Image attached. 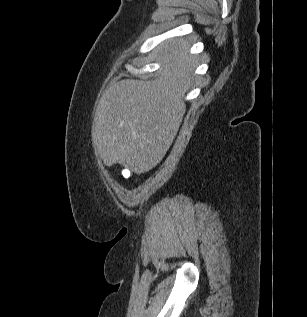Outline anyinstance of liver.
Here are the masks:
<instances>
[{"label": "liver", "instance_id": "6515ba94", "mask_svg": "<svg viewBox=\"0 0 307 317\" xmlns=\"http://www.w3.org/2000/svg\"><path fill=\"white\" fill-rule=\"evenodd\" d=\"M190 45L173 39L156 48L162 66L153 80L111 83L101 98L92 130L106 166L120 164L136 174L154 168L177 134L196 67Z\"/></svg>", "mask_w": 307, "mask_h": 317}]
</instances>
